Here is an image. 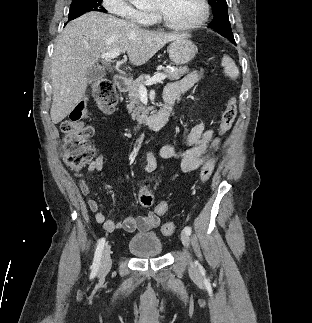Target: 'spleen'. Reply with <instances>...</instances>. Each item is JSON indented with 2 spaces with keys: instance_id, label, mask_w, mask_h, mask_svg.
Wrapping results in <instances>:
<instances>
[{
  "instance_id": "3e777b00",
  "label": "spleen",
  "mask_w": 312,
  "mask_h": 323,
  "mask_svg": "<svg viewBox=\"0 0 312 323\" xmlns=\"http://www.w3.org/2000/svg\"><path fill=\"white\" fill-rule=\"evenodd\" d=\"M221 66H223L224 74H226V76H229V78H237L239 70L237 66H235L232 58H229V56H223Z\"/></svg>"
}]
</instances>
